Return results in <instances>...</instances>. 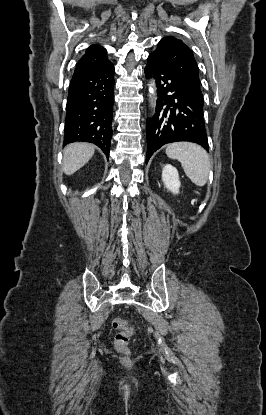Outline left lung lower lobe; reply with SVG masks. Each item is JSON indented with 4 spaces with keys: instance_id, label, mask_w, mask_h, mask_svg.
Masks as SVG:
<instances>
[{
    "instance_id": "obj_1",
    "label": "left lung lower lobe",
    "mask_w": 266,
    "mask_h": 415,
    "mask_svg": "<svg viewBox=\"0 0 266 415\" xmlns=\"http://www.w3.org/2000/svg\"><path fill=\"white\" fill-rule=\"evenodd\" d=\"M145 75H153L158 88L156 113L146 124V163L156 150L172 142H195L208 151L203 103L153 53Z\"/></svg>"
}]
</instances>
